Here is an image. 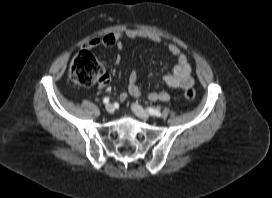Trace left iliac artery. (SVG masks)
Here are the masks:
<instances>
[{"label":"left iliac artery","mask_w":272,"mask_h":198,"mask_svg":"<svg viewBox=\"0 0 272 198\" xmlns=\"http://www.w3.org/2000/svg\"><path fill=\"white\" fill-rule=\"evenodd\" d=\"M147 110H148L149 114H151V115H154V116H157V117L161 116V112L159 110H157V109L148 107Z\"/></svg>","instance_id":"44dca946"}]
</instances>
